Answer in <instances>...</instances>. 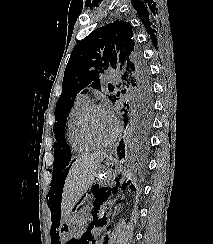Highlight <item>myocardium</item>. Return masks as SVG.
I'll return each mask as SVG.
<instances>
[{"mask_svg":"<svg viewBox=\"0 0 213 244\" xmlns=\"http://www.w3.org/2000/svg\"><path fill=\"white\" fill-rule=\"evenodd\" d=\"M95 110H103L106 111V109L100 105V104H95V103H91L88 108L84 111L82 117H81V121H80V132L82 137L84 138L85 141H87L89 144L93 145L94 147H107L112 145L118 138L119 133H120V126L119 124L115 121V131L113 136L106 141H99L97 139H95L90 131H89V127H88V121H89V117L91 115V113Z\"/></svg>","mask_w":213,"mask_h":244,"instance_id":"f54148a6","label":"myocardium"}]
</instances>
